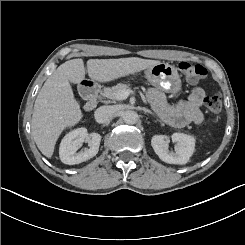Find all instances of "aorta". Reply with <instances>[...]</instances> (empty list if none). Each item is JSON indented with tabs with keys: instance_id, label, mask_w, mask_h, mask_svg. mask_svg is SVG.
I'll return each instance as SVG.
<instances>
[{
	"instance_id": "obj_1",
	"label": "aorta",
	"mask_w": 245,
	"mask_h": 245,
	"mask_svg": "<svg viewBox=\"0 0 245 245\" xmlns=\"http://www.w3.org/2000/svg\"><path fill=\"white\" fill-rule=\"evenodd\" d=\"M123 120L127 124H135L138 121V114L135 111L127 110L123 113Z\"/></svg>"
}]
</instances>
